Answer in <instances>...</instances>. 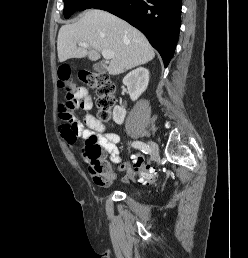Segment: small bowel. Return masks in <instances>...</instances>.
Masks as SVG:
<instances>
[{
  "mask_svg": "<svg viewBox=\"0 0 248 258\" xmlns=\"http://www.w3.org/2000/svg\"><path fill=\"white\" fill-rule=\"evenodd\" d=\"M75 103L76 107L81 110L83 117V122L73 121V124L77 130V134L83 139H86L91 135L98 137L101 146L109 154L110 160L115 164H119V171L126 173L123 181L126 182L130 179H133L134 175H132V173H128V162L121 163L119 149L117 147V144L120 140L119 135L112 132H106L105 125L91 113L93 101L86 88L81 87L77 90L75 95ZM62 134L68 144H73L71 141L66 139V135L63 131ZM93 184L101 186L105 185L103 180H94Z\"/></svg>",
  "mask_w": 248,
  "mask_h": 258,
  "instance_id": "c3829d8e",
  "label": "small bowel"
}]
</instances>
